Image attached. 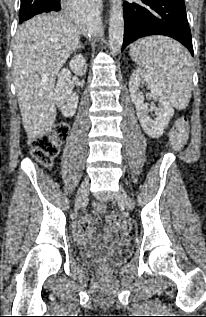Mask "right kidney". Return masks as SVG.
Returning a JSON list of instances; mask_svg holds the SVG:
<instances>
[{"instance_id":"obj_1","label":"right kidney","mask_w":206,"mask_h":317,"mask_svg":"<svg viewBox=\"0 0 206 317\" xmlns=\"http://www.w3.org/2000/svg\"><path fill=\"white\" fill-rule=\"evenodd\" d=\"M69 67L74 74L83 76L86 73L87 65L85 58L75 55L69 63ZM71 71L68 68L62 69L58 74V82L54 91V100L57 107L65 117L75 114L78 105V96L70 88Z\"/></svg>"}]
</instances>
